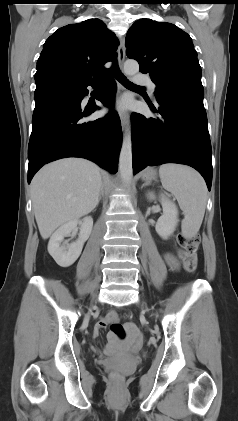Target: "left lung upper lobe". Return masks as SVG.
<instances>
[{"label": "left lung upper lobe", "instance_id": "left-lung-upper-lobe-1", "mask_svg": "<svg viewBox=\"0 0 238 421\" xmlns=\"http://www.w3.org/2000/svg\"><path fill=\"white\" fill-rule=\"evenodd\" d=\"M125 46L142 73H150L155 93L189 81L201 82V67L190 36L171 23L143 18L128 30Z\"/></svg>", "mask_w": 238, "mask_h": 421}]
</instances>
